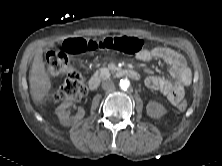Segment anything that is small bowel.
<instances>
[{
	"instance_id": "1",
	"label": "small bowel",
	"mask_w": 222,
	"mask_h": 166,
	"mask_svg": "<svg viewBox=\"0 0 222 166\" xmlns=\"http://www.w3.org/2000/svg\"><path fill=\"white\" fill-rule=\"evenodd\" d=\"M136 57L140 61L161 59L170 66L173 82L160 76H149L145 80V84L149 89L164 95L172 105L177 106L178 102L184 97L185 87L192 81V74L184 57L167 47L141 50Z\"/></svg>"
}]
</instances>
